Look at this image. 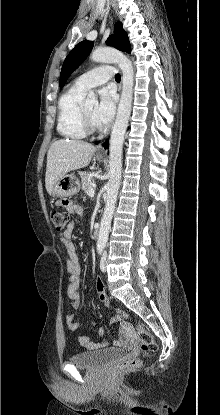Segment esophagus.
<instances>
[{
	"mask_svg": "<svg viewBox=\"0 0 220 415\" xmlns=\"http://www.w3.org/2000/svg\"><path fill=\"white\" fill-rule=\"evenodd\" d=\"M119 90H121V84L119 85ZM97 152H98L99 154H104V153H105V150H104V148L100 145V146L98 147Z\"/></svg>",
	"mask_w": 220,
	"mask_h": 415,
	"instance_id": "34e87169",
	"label": "esophagus"
}]
</instances>
